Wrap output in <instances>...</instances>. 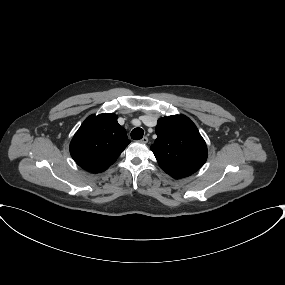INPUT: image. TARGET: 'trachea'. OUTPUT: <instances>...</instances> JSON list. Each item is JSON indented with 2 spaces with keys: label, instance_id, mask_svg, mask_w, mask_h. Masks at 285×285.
I'll use <instances>...</instances> for the list:
<instances>
[{
  "label": "trachea",
  "instance_id": "trachea-1",
  "mask_svg": "<svg viewBox=\"0 0 285 285\" xmlns=\"http://www.w3.org/2000/svg\"><path fill=\"white\" fill-rule=\"evenodd\" d=\"M144 135V131L142 128H134L132 131H131V138L133 140H140Z\"/></svg>",
  "mask_w": 285,
  "mask_h": 285
}]
</instances>
